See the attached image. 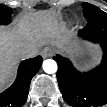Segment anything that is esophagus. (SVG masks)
<instances>
[{
	"mask_svg": "<svg viewBox=\"0 0 107 107\" xmlns=\"http://www.w3.org/2000/svg\"><path fill=\"white\" fill-rule=\"evenodd\" d=\"M41 55L43 58H49L53 55V49L50 47H45L42 51H41Z\"/></svg>",
	"mask_w": 107,
	"mask_h": 107,
	"instance_id": "1",
	"label": "esophagus"
}]
</instances>
